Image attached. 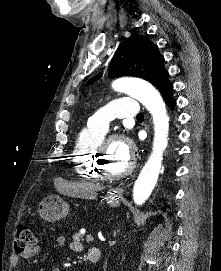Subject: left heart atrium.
I'll return each mask as SVG.
<instances>
[{"label":"left heart atrium","instance_id":"1","mask_svg":"<svg viewBox=\"0 0 221 271\" xmlns=\"http://www.w3.org/2000/svg\"><path fill=\"white\" fill-rule=\"evenodd\" d=\"M114 152H109V157H128L127 148H114Z\"/></svg>","mask_w":221,"mask_h":271}]
</instances>
